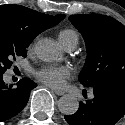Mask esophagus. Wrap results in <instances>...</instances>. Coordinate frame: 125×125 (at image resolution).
Instances as JSON below:
<instances>
[{
	"label": "esophagus",
	"mask_w": 125,
	"mask_h": 125,
	"mask_svg": "<svg viewBox=\"0 0 125 125\" xmlns=\"http://www.w3.org/2000/svg\"><path fill=\"white\" fill-rule=\"evenodd\" d=\"M52 91H53L55 94L59 95V96L64 95V91H62V90L52 89Z\"/></svg>",
	"instance_id": "34e87169"
}]
</instances>
